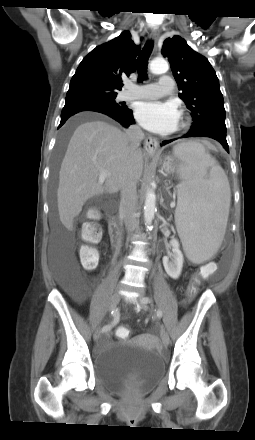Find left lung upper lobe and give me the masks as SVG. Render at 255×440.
<instances>
[{
	"label": "left lung upper lobe",
	"mask_w": 255,
	"mask_h": 440,
	"mask_svg": "<svg viewBox=\"0 0 255 440\" xmlns=\"http://www.w3.org/2000/svg\"><path fill=\"white\" fill-rule=\"evenodd\" d=\"M162 54L168 57L179 97L191 111L196 130L208 126L226 129L224 99L219 80L208 59L194 51L180 36L163 43Z\"/></svg>",
	"instance_id": "5c2ea615"
}]
</instances>
